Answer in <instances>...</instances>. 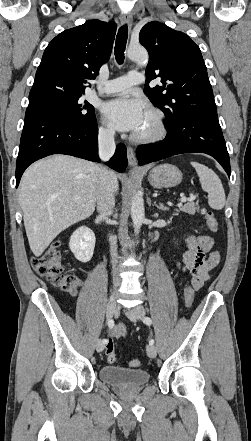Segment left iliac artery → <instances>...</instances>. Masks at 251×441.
Returning <instances> with one entry per match:
<instances>
[{"instance_id": "1", "label": "left iliac artery", "mask_w": 251, "mask_h": 441, "mask_svg": "<svg viewBox=\"0 0 251 441\" xmlns=\"http://www.w3.org/2000/svg\"><path fill=\"white\" fill-rule=\"evenodd\" d=\"M142 319V321L146 324V325H151L152 324V320L149 318V317H143V318H141ZM149 344L150 345H153L154 344V339H151L150 341H149Z\"/></svg>"}]
</instances>
